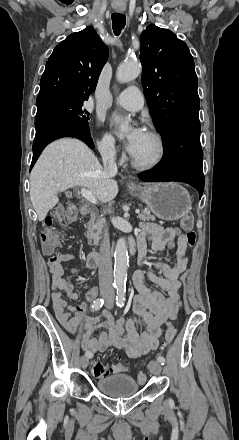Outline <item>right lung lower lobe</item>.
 <instances>
[{
    "instance_id": "98d812e1",
    "label": "right lung lower lobe",
    "mask_w": 239,
    "mask_h": 440,
    "mask_svg": "<svg viewBox=\"0 0 239 440\" xmlns=\"http://www.w3.org/2000/svg\"><path fill=\"white\" fill-rule=\"evenodd\" d=\"M36 136L33 142V158L31 168L34 166L43 149L50 142L62 137H74L85 142L94 149L90 138L89 127H84L69 120L58 117H46L35 121Z\"/></svg>"
}]
</instances>
